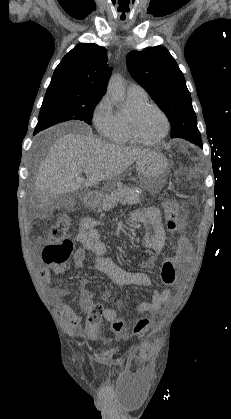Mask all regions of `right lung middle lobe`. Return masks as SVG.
<instances>
[{"label": "right lung middle lobe", "mask_w": 231, "mask_h": 419, "mask_svg": "<svg viewBox=\"0 0 231 419\" xmlns=\"http://www.w3.org/2000/svg\"><path fill=\"white\" fill-rule=\"evenodd\" d=\"M101 96L78 95L65 88L47 89L34 134L69 120L92 124L93 111Z\"/></svg>", "instance_id": "obj_1"}]
</instances>
